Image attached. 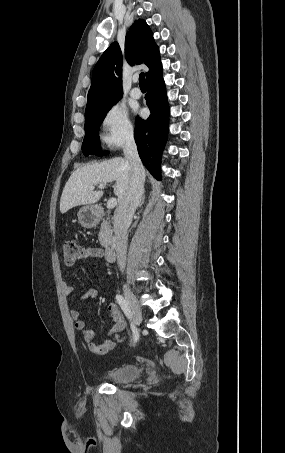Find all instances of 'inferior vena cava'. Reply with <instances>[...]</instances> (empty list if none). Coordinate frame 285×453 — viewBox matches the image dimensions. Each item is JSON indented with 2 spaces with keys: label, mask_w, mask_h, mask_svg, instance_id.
I'll use <instances>...</instances> for the list:
<instances>
[{
  "label": "inferior vena cava",
  "mask_w": 285,
  "mask_h": 453,
  "mask_svg": "<svg viewBox=\"0 0 285 453\" xmlns=\"http://www.w3.org/2000/svg\"><path fill=\"white\" fill-rule=\"evenodd\" d=\"M123 151L126 163L131 170V179L127 193L119 201L115 210L113 222L117 263L122 272L126 265L128 228L142 200L145 180V170L139 158L137 146L132 134L126 137Z\"/></svg>",
  "instance_id": "obj_1"
}]
</instances>
